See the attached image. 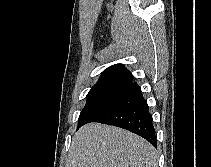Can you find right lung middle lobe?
<instances>
[{"label":"right lung middle lobe","mask_w":211,"mask_h":167,"mask_svg":"<svg viewBox=\"0 0 211 167\" xmlns=\"http://www.w3.org/2000/svg\"><path fill=\"white\" fill-rule=\"evenodd\" d=\"M132 84V81H98L87 94V102L80 113L78 126L89 122L97 116L107 106L124 94Z\"/></svg>","instance_id":"dd1d6c3e"}]
</instances>
